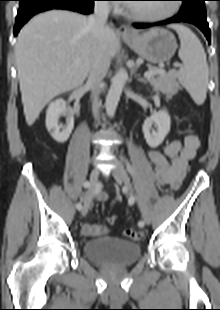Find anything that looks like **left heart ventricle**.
Listing matches in <instances>:
<instances>
[{"instance_id":"1","label":"left heart ventricle","mask_w":220,"mask_h":310,"mask_svg":"<svg viewBox=\"0 0 220 310\" xmlns=\"http://www.w3.org/2000/svg\"><path fill=\"white\" fill-rule=\"evenodd\" d=\"M168 9V6L165 4H156V5H133L131 11L139 12L146 15H160Z\"/></svg>"}]
</instances>
